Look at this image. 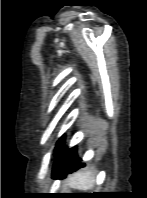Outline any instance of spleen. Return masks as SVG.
Here are the masks:
<instances>
[{
    "label": "spleen",
    "mask_w": 147,
    "mask_h": 198,
    "mask_svg": "<svg viewBox=\"0 0 147 198\" xmlns=\"http://www.w3.org/2000/svg\"><path fill=\"white\" fill-rule=\"evenodd\" d=\"M95 181L93 171L87 170L83 172H77L69 177L68 186L79 190H90Z\"/></svg>",
    "instance_id": "spleen-1"
}]
</instances>
